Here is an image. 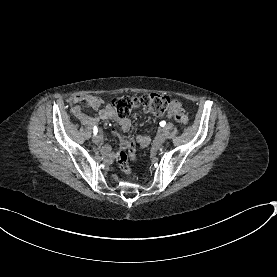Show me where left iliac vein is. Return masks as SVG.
Instances as JSON below:
<instances>
[{"instance_id":"left-iliac-vein-1","label":"left iliac vein","mask_w":277,"mask_h":277,"mask_svg":"<svg viewBox=\"0 0 277 277\" xmlns=\"http://www.w3.org/2000/svg\"><path fill=\"white\" fill-rule=\"evenodd\" d=\"M165 140H166V136H165V134H160V136H159V141L161 142V143H163V142H165Z\"/></svg>"}]
</instances>
